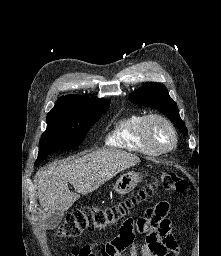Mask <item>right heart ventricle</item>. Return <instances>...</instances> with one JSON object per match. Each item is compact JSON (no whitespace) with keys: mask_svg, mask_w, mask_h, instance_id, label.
<instances>
[{"mask_svg":"<svg viewBox=\"0 0 221 256\" xmlns=\"http://www.w3.org/2000/svg\"><path fill=\"white\" fill-rule=\"evenodd\" d=\"M144 117L143 114L132 113L118 119L107 136V144L144 155H155L141 137Z\"/></svg>","mask_w":221,"mask_h":256,"instance_id":"right-heart-ventricle-1","label":"right heart ventricle"}]
</instances>
